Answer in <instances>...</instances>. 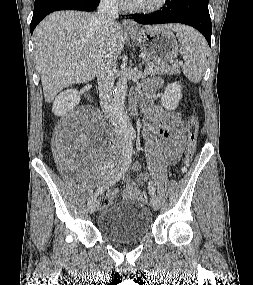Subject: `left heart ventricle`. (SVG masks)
Returning a JSON list of instances; mask_svg holds the SVG:
<instances>
[{
	"mask_svg": "<svg viewBox=\"0 0 253 285\" xmlns=\"http://www.w3.org/2000/svg\"><path fill=\"white\" fill-rule=\"evenodd\" d=\"M158 0H132V3L136 5H150L155 3Z\"/></svg>",
	"mask_w": 253,
	"mask_h": 285,
	"instance_id": "b2bd125f",
	"label": "left heart ventricle"
}]
</instances>
